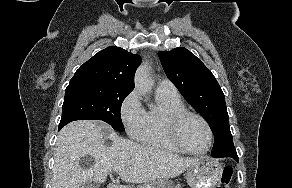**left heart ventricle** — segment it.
I'll use <instances>...</instances> for the list:
<instances>
[{"label": "left heart ventricle", "instance_id": "b2bd125f", "mask_svg": "<svg viewBox=\"0 0 292 188\" xmlns=\"http://www.w3.org/2000/svg\"><path fill=\"white\" fill-rule=\"evenodd\" d=\"M182 142L191 150L203 151L208 145V133L204 124L195 117L186 118L180 127Z\"/></svg>", "mask_w": 292, "mask_h": 188}]
</instances>
